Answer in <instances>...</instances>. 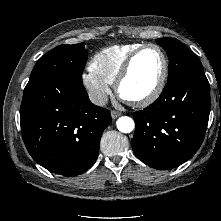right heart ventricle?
<instances>
[{"label":"right heart ventricle","instance_id":"e07e8e85","mask_svg":"<svg viewBox=\"0 0 221 221\" xmlns=\"http://www.w3.org/2000/svg\"><path fill=\"white\" fill-rule=\"evenodd\" d=\"M142 43L132 42L106 47L97 52L90 61V69L98 77L113 84L127 57Z\"/></svg>","mask_w":221,"mask_h":221}]
</instances>
